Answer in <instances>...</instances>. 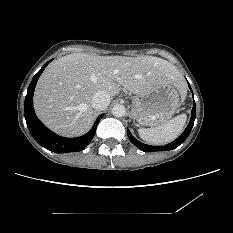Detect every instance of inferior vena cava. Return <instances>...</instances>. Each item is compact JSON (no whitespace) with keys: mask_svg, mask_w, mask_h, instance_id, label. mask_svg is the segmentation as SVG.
Listing matches in <instances>:
<instances>
[{"mask_svg":"<svg viewBox=\"0 0 233 233\" xmlns=\"http://www.w3.org/2000/svg\"><path fill=\"white\" fill-rule=\"evenodd\" d=\"M110 95L105 91L96 92L91 100V106L96 110H104L110 104Z\"/></svg>","mask_w":233,"mask_h":233,"instance_id":"obj_1","label":"inferior vena cava"}]
</instances>
